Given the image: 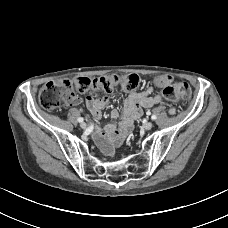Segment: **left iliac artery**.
<instances>
[{"label":"left iliac artery","mask_w":228,"mask_h":228,"mask_svg":"<svg viewBox=\"0 0 228 228\" xmlns=\"http://www.w3.org/2000/svg\"><path fill=\"white\" fill-rule=\"evenodd\" d=\"M156 118H157L156 115H152V116H151V119H152V120H155Z\"/></svg>","instance_id":"obj_1"}]
</instances>
